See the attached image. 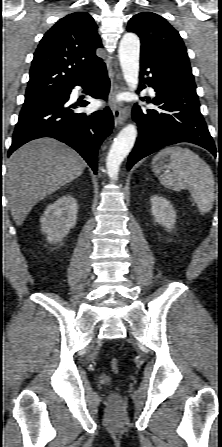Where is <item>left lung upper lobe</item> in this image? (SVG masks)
Segmentation results:
<instances>
[{"mask_svg":"<svg viewBox=\"0 0 222 447\" xmlns=\"http://www.w3.org/2000/svg\"><path fill=\"white\" fill-rule=\"evenodd\" d=\"M127 30L140 37L141 58L150 59L196 88L186 47L163 17L152 12L138 13L129 20Z\"/></svg>","mask_w":222,"mask_h":447,"instance_id":"obj_1","label":"left lung upper lobe"}]
</instances>
